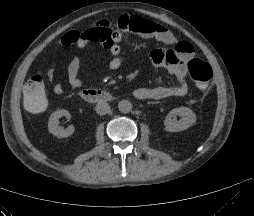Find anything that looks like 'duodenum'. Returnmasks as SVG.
Here are the masks:
<instances>
[{"mask_svg":"<svg viewBox=\"0 0 254 216\" xmlns=\"http://www.w3.org/2000/svg\"><path fill=\"white\" fill-rule=\"evenodd\" d=\"M81 96L83 99L90 102H102L112 100V95L110 93L99 89H86L82 91Z\"/></svg>","mask_w":254,"mask_h":216,"instance_id":"1","label":"duodenum"}]
</instances>
